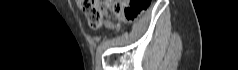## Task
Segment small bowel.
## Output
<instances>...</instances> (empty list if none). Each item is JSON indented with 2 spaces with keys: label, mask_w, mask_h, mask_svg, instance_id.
Masks as SVG:
<instances>
[{
  "label": "small bowel",
  "mask_w": 238,
  "mask_h": 70,
  "mask_svg": "<svg viewBox=\"0 0 238 70\" xmlns=\"http://www.w3.org/2000/svg\"><path fill=\"white\" fill-rule=\"evenodd\" d=\"M107 24H108V26H110V27L113 26V24H112L111 22H108Z\"/></svg>",
  "instance_id": "1"
}]
</instances>
